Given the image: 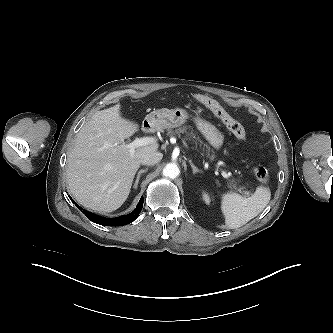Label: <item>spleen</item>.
<instances>
[{"label":"spleen","instance_id":"1","mask_svg":"<svg viewBox=\"0 0 333 333\" xmlns=\"http://www.w3.org/2000/svg\"><path fill=\"white\" fill-rule=\"evenodd\" d=\"M270 198V190L262 186L257 187L255 193L249 198L234 192L223 194L221 210L225 217V225L230 229L245 225L263 211Z\"/></svg>","mask_w":333,"mask_h":333}]
</instances>
